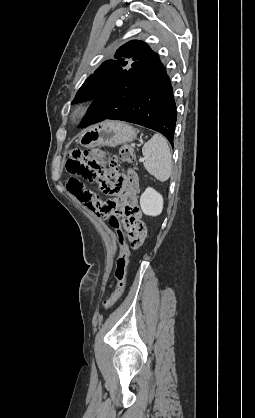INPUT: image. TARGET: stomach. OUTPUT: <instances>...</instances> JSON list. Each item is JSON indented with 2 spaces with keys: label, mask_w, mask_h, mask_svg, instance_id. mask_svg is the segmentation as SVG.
<instances>
[{
  "label": "stomach",
  "mask_w": 255,
  "mask_h": 418,
  "mask_svg": "<svg viewBox=\"0 0 255 418\" xmlns=\"http://www.w3.org/2000/svg\"><path fill=\"white\" fill-rule=\"evenodd\" d=\"M137 133V129L126 123L108 121L85 129L80 136L79 143L86 148L114 147L134 141Z\"/></svg>",
  "instance_id": "1"
}]
</instances>
